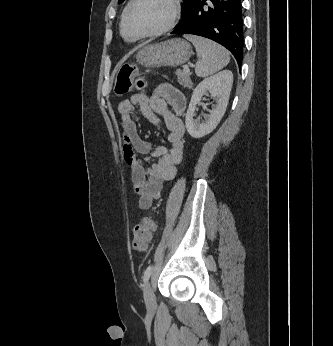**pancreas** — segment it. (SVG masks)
<instances>
[{
    "mask_svg": "<svg viewBox=\"0 0 333 346\" xmlns=\"http://www.w3.org/2000/svg\"><path fill=\"white\" fill-rule=\"evenodd\" d=\"M176 75H177L178 82L182 86L187 87V88H191L192 81L190 78V75H191L190 73H185L184 71L177 70Z\"/></svg>",
    "mask_w": 333,
    "mask_h": 346,
    "instance_id": "pancreas-1",
    "label": "pancreas"
}]
</instances>
